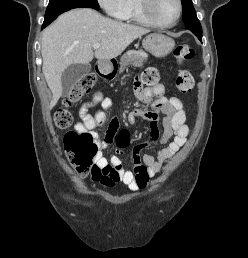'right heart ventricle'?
Here are the masks:
<instances>
[{"label":"right heart ventricle","mask_w":248,"mask_h":258,"mask_svg":"<svg viewBox=\"0 0 248 258\" xmlns=\"http://www.w3.org/2000/svg\"><path fill=\"white\" fill-rule=\"evenodd\" d=\"M120 19L142 25H151L142 14L140 0H127L126 10Z\"/></svg>","instance_id":"right-heart-ventricle-1"}]
</instances>
